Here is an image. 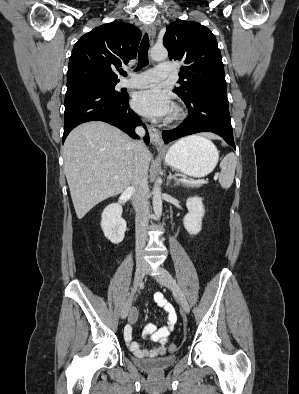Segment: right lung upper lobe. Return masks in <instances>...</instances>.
I'll return each mask as SVG.
<instances>
[{"instance_id":"right-lung-upper-lobe-1","label":"right lung upper lobe","mask_w":299,"mask_h":394,"mask_svg":"<svg viewBox=\"0 0 299 394\" xmlns=\"http://www.w3.org/2000/svg\"><path fill=\"white\" fill-rule=\"evenodd\" d=\"M140 38L138 28L116 21L83 35L69 59L67 89L92 83H118L113 70L136 58Z\"/></svg>"}]
</instances>
